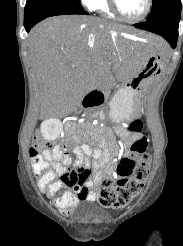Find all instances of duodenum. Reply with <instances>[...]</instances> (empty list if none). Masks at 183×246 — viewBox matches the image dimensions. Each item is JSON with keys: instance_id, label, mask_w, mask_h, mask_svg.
Returning <instances> with one entry per match:
<instances>
[{"instance_id": "1", "label": "duodenum", "mask_w": 183, "mask_h": 246, "mask_svg": "<svg viewBox=\"0 0 183 246\" xmlns=\"http://www.w3.org/2000/svg\"><path fill=\"white\" fill-rule=\"evenodd\" d=\"M104 101V93L98 88L91 89L83 99V108L84 109H93L101 105ZM76 116L80 115L79 111L75 112Z\"/></svg>"}]
</instances>
